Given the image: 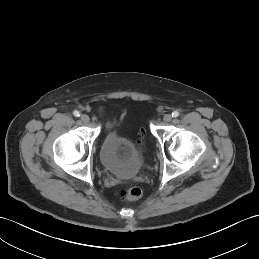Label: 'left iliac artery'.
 Returning a JSON list of instances; mask_svg holds the SVG:
<instances>
[{"label": "left iliac artery", "instance_id": "obj_1", "mask_svg": "<svg viewBox=\"0 0 259 259\" xmlns=\"http://www.w3.org/2000/svg\"><path fill=\"white\" fill-rule=\"evenodd\" d=\"M179 116V112L178 111H174L172 112V117H178Z\"/></svg>", "mask_w": 259, "mask_h": 259}]
</instances>
